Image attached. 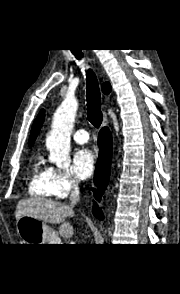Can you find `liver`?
Here are the masks:
<instances>
[{"instance_id":"liver-1","label":"liver","mask_w":180,"mask_h":294,"mask_svg":"<svg viewBox=\"0 0 180 294\" xmlns=\"http://www.w3.org/2000/svg\"><path fill=\"white\" fill-rule=\"evenodd\" d=\"M73 214V206L57 201H49L40 198L22 199L18 202L15 218L16 222L24 215L44 221L45 223L59 224L60 233L63 237L73 235V226L65 219Z\"/></svg>"}]
</instances>
